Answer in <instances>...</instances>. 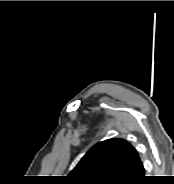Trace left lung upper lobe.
Returning <instances> with one entry per match:
<instances>
[{
	"label": "left lung upper lobe",
	"mask_w": 174,
	"mask_h": 184,
	"mask_svg": "<svg viewBox=\"0 0 174 184\" xmlns=\"http://www.w3.org/2000/svg\"><path fill=\"white\" fill-rule=\"evenodd\" d=\"M137 151L124 139H108L94 145L68 175L72 184H128Z\"/></svg>",
	"instance_id": "1"
}]
</instances>
